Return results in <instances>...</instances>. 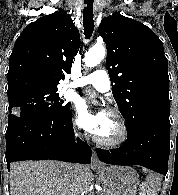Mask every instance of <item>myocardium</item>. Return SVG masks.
Here are the masks:
<instances>
[{"mask_svg":"<svg viewBox=\"0 0 178 195\" xmlns=\"http://www.w3.org/2000/svg\"><path fill=\"white\" fill-rule=\"evenodd\" d=\"M107 114H109L116 120L117 125L119 127V135L117 138L113 140H103L99 138L97 135H95L94 140L100 146L107 147V148H116L126 142V140L128 139L129 130L123 117L117 111L113 109H109L107 111Z\"/></svg>","mask_w":178,"mask_h":195,"instance_id":"myocardium-1","label":"myocardium"}]
</instances>
